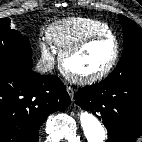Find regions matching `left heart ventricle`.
<instances>
[{
    "mask_svg": "<svg viewBox=\"0 0 142 142\" xmlns=\"http://www.w3.org/2000/svg\"><path fill=\"white\" fill-rule=\"evenodd\" d=\"M115 45L105 39L93 42L67 61V67L80 75H88L103 69L112 59Z\"/></svg>",
    "mask_w": 142,
    "mask_h": 142,
    "instance_id": "b2bd125f",
    "label": "left heart ventricle"
}]
</instances>
